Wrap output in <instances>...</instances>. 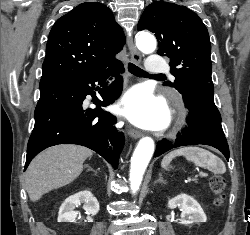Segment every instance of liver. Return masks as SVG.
I'll return each mask as SVG.
<instances>
[{
    "label": "liver",
    "mask_w": 250,
    "mask_h": 235,
    "mask_svg": "<svg viewBox=\"0 0 250 235\" xmlns=\"http://www.w3.org/2000/svg\"><path fill=\"white\" fill-rule=\"evenodd\" d=\"M92 151L77 145L64 144L48 148L30 163L25 184L31 201L45 193L74 181L83 171L84 161Z\"/></svg>",
    "instance_id": "liver-1"
}]
</instances>
